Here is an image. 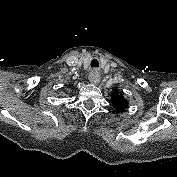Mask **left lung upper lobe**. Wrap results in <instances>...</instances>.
<instances>
[{
  "label": "left lung upper lobe",
  "instance_id": "5c2ea615",
  "mask_svg": "<svg viewBox=\"0 0 177 177\" xmlns=\"http://www.w3.org/2000/svg\"><path fill=\"white\" fill-rule=\"evenodd\" d=\"M113 107L118 111H123L128 107V101L119 94H114L111 97Z\"/></svg>",
  "mask_w": 177,
  "mask_h": 177
}]
</instances>
